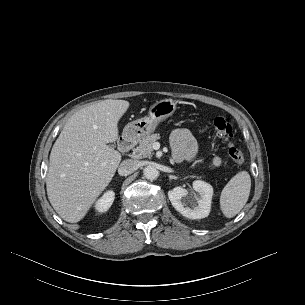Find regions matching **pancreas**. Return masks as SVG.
Listing matches in <instances>:
<instances>
[{"label": "pancreas", "instance_id": "obj_1", "mask_svg": "<svg viewBox=\"0 0 305 305\" xmlns=\"http://www.w3.org/2000/svg\"><path fill=\"white\" fill-rule=\"evenodd\" d=\"M158 139H160V134L157 133L145 136L139 146L133 150V157L136 159L151 157L153 155V143Z\"/></svg>", "mask_w": 305, "mask_h": 305}]
</instances>
